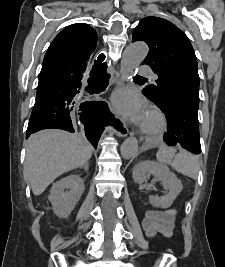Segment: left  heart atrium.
Listing matches in <instances>:
<instances>
[{"instance_id":"obj_1","label":"left heart atrium","mask_w":225,"mask_h":267,"mask_svg":"<svg viewBox=\"0 0 225 267\" xmlns=\"http://www.w3.org/2000/svg\"><path fill=\"white\" fill-rule=\"evenodd\" d=\"M112 104L124 117L132 122L143 125L147 117L146 103L142 97L130 89L116 91L112 98Z\"/></svg>"}]
</instances>
